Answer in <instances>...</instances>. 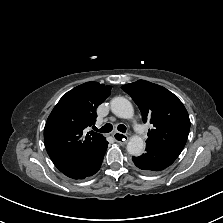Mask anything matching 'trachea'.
I'll use <instances>...</instances> for the list:
<instances>
[{
	"label": "trachea",
	"instance_id": "obj_1",
	"mask_svg": "<svg viewBox=\"0 0 223 223\" xmlns=\"http://www.w3.org/2000/svg\"><path fill=\"white\" fill-rule=\"evenodd\" d=\"M117 129L122 133L126 132V127L123 124L118 125ZM95 130L98 132H101V133H109L113 130V126L111 124L107 123L102 128H100V129L96 128Z\"/></svg>",
	"mask_w": 223,
	"mask_h": 223
}]
</instances>
